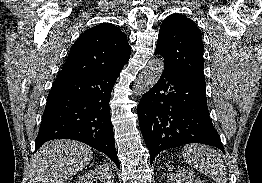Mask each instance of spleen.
Masks as SVG:
<instances>
[{"label":"spleen","instance_id":"obj_1","mask_svg":"<svg viewBox=\"0 0 262 183\" xmlns=\"http://www.w3.org/2000/svg\"><path fill=\"white\" fill-rule=\"evenodd\" d=\"M182 156L187 164L218 183H227V171L219 153L205 145L189 144Z\"/></svg>","mask_w":262,"mask_h":183}]
</instances>
